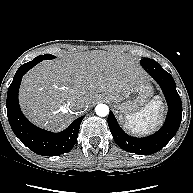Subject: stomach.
<instances>
[{
	"label": "stomach",
	"mask_w": 193,
	"mask_h": 193,
	"mask_svg": "<svg viewBox=\"0 0 193 193\" xmlns=\"http://www.w3.org/2000/svg\"><path fill=\"white\" fill-rule=\"evenodd\" d=\"M152 93L151 86L139 78L122 90L105 93L103 97L112 102L121 113H131L144 105Z\"/></svg>",
	"instance_id": "0dacf381"
}]
</instances>
